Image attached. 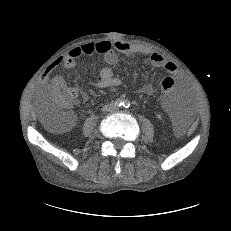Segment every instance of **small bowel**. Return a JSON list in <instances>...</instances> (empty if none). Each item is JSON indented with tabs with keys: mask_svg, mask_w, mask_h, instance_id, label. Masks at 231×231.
I'll use <instances>...</instances> for the list:
<instances>
[{
	"mask_svg": "<svg viewBox=\"0 0 231 231\" xmlns=\"http://www.w3.org/2000/svg\"><path fill=\"white\" fill-rule=\"evenodd\" d=\"M141 53L149 54V61L153 66L164 68L169 74H171L174 77H181V73L178 70L177 66L173 62L166 60V58L158 52H154L144 48H139L120 41L113 43L109 41H99L75 47L71 49L66 55L60 57L55 62H53L50 66V69L46 72L47 76L45 78L44 83L47 84L49 82V73L57 66L61 65L65 68H72L76 65V59L80 56L100 54L103 56L107 66L101 69L100 79L95 84V87L98 89L118 87L122 85V80L114 75L113 70L111 68L117 63L118 54L133 56ZM60 85H62V81L53 82L51 86L52 89H54ZM148 91H150V88L148 89ZM80 95L83 100H87L89 97L88 93L85 91H82ZM170 101L171 97L169 93H166V95H164L162 98V104L166 110H168L169 108Z\"/></svg>",
	"mask_w": 231,
	"mask_h": 231,
	"instance_id": "small-bowel-1",
	"label": "small bowel"
}]
</instances>
